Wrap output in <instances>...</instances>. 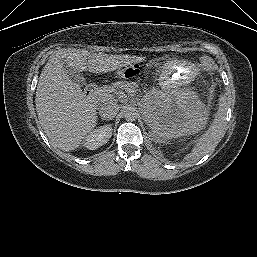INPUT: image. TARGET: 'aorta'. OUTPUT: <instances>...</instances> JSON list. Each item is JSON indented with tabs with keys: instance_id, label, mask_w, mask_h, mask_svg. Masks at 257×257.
I'll return each mask as SVG.
<instances>
[{
	"instance_id": "aorta-1",
	"label": "aorta",
	"mask_w": 257,
	"mask_h": 257,
	"mask_svg": "<svg viewBox=\"0 0 257 257\" xmlns=\"http://www.w3.org/2000/svg\"><path fill=\"white\" fill-rule=\"evenodd\" d=\"M138 115V111L134 107L128 106L124 109V117L127 121H135Z\"/></svg>"
}]
</instances>
